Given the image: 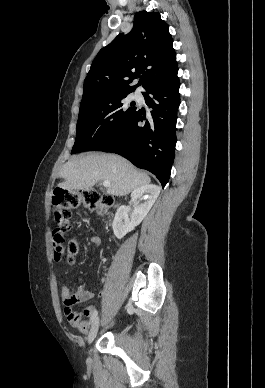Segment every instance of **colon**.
Returning a JSON list of instances; mask_svg holds the SVG:
<instances>
[{
  "label": "colon",
  "mask_w": 265,
  "mask_h": 388,
  "mask_svg": "<svg viewBox=\"0 0 265 388\" xmlns=\"http://www.w3.org/2000/svg\"><path fill=\"white\" fill-rule=\"evenodd\" d=\"M112 199L101 195L93 189H83L68 191L61 188L54 190L52 198V214L56 223V228L52 233L54 257L57 261L66 259L73 261V256L80 250V244L75 239H69L65 245L66 238L71 230L70 222L72 210L83 205L99 214H105L112 205ZM71 324H76L80 320V315L74 311L66 313Z\"/></svg>",
  "instance_id": "obj_1"
}]
</instances>
